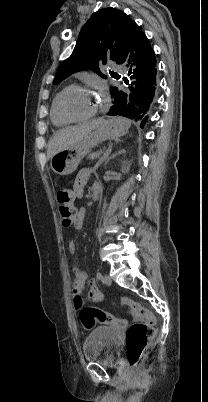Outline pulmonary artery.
<instances>
[{
	"instance_id": "1",
	"label": "pulmonary artery",
	"mask_w": 208,
	"mask_h": 402,
	"mask_svg": "<svg viewBox=\"0 0 208 402\" xmlns=\"http://www.w3.org/2000/svg\"><path fill=\"white\" fill-rule=\"evenodd\" d=\"M111 69L113 70V73L114 74H119L120 72H123L124 71V69L122 68V66L121 65H112L111 66Z\"/></svg>"
}]
</instances>
